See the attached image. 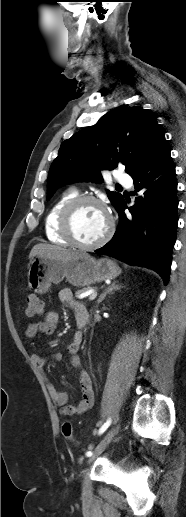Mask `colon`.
<instances>
[{"mask_svg":"<svg viewBox=\"0 0 186 517\" xmlns=\"http://www.w3.org/2000/svg\"><path fill=\"white\" fill-rule=\"evenodd\" d=\"M44 312V306L41 299L36 295L28 296L26 300V314L30 317L40 315ZM62 435L69 441H75L73 436L72 424L70 421H65L62 424Z\"/></svg>","mask_w":186,"mask_h":517,"instance_id":"5ec220e1","label":"colon"}]
</instances>
